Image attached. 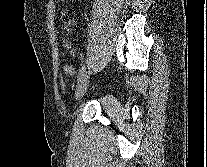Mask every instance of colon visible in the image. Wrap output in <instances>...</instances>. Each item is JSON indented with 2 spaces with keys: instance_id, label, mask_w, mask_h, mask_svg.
<instances>
[{
  "instance_id": "obj_1",
  "label": "colon",
  "mask_w": 207,
  "mask_h": 167,
  "mask_svg": "<svg viewBox=\"0 0 207 167\" xmlns=\"http://www.w3.org/2000/svg\"><path fill=\"white\" fill-rule=\"evenodd\" d=\"M61 21H62V24L66 28H68V26L70 25V19H69L68 15L66 13H63L62 14Z\"/></svg>"
}]
</instances>
